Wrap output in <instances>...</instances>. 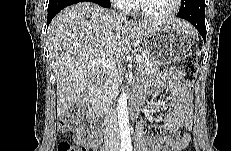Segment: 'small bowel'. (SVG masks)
<instances>
[{
    "instance_id": "obj_1",
    "label": "small bowel",
    "mask_w": 231,
    "mask_h": 151,
    "mask_svg": "<svg viewBox=\"0 0 231 151\" xmlns=\"http://www.w3.org/2000/svg\"><path fill=\"white\" fill-rule=\"evenodd\" d=\"M145 91H165L168 94L167 104L171 107V111L165 115L160 126L168 130L169 134L164 137L149 134L148 126L157 124L141 121L136 133L137 151H178L184 148L190 140V134L182 132V129L190 130L192 127L193 105L180 74L174 69H169L147 89H140V93ZM95 122L96 120L91 118L87 138L82 142L85 150L89 148L96 151L101 147L100 130Z\"/></svg>"
}]
</instances>
